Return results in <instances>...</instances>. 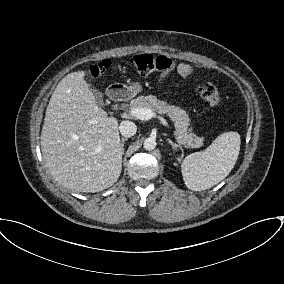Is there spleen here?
<instances>
[{"label":"spleen","instance_id":"spleen-1","mask_svg":"<svg viewBox=\"0 0 284 284\" xmlns=\"http://www.w3.org/2000/svg\"><path fill=\"white\" fill-rule=\"evenodd\" d=\"M240 144L237 132H225L204 151L186 156L181 171L187 188L206 190L227 177L238 159Z\"/></svg>","mask_w":284,"mask_h":284}]
</instances>
